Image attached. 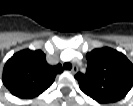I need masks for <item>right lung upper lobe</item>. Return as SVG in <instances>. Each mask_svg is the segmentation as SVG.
Instances as JSON below:
<instances>
[{"label": "right lung upper lobe", "instance_id": "right-lung-upper-lobe-1", "mask_svg": "<svg viewBox=\"0 0 133 106\" xmlns=\"http://www.w3.org/2000/svg\"><path fill=\"white\" fill-rule=\"evenodd\" d=\"M60 64L51 66L41 50H22L5 64L2 81L6 88L19 98H34L48 89L58 74Z\"/></svg>", "mask_w": 133, "mask_h": 106}]
</instances>
